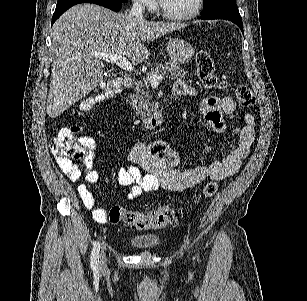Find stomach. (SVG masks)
I'll list each match as a JSON object with an SVG mask.
<instances>
[{
  "label": "stomach",
  "mask_w": 307,
  "mask_h": 301,
  "mask_svg": "<svg viewBox=\"0 0 307 301\" xmlns=\"http://www.w3.org/2000/svg\"><path fill=\"white\" fill-rule=\"evenodd\" d=\"M166 50L174 64H184L194 56V48L185 38H169Z\"/></svg>",
  "instance_id": "obj_1"
}]
</instances>
